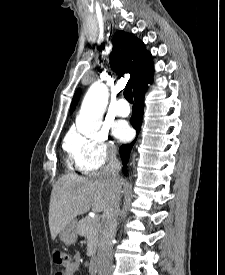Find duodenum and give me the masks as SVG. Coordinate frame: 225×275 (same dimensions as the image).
<instances>
[{
	"label": "duodenum",
	"mask_w": 225,
	"mask_h": 275,
	"mask_svg": "<svg viewBox=\"0 0 225 275\" xmlns=\"http://www.w3.org/2000/svg\"><path fill=\"white\" fill-rule=\"evenodd\" d=\"M89 273H90V275H95L96 274V258L95 257H92L90 259Z\"/></svg>",
	"instance_id": "410a0bca"
}]
</instances>
